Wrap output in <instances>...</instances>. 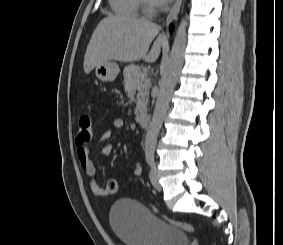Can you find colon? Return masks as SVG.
I'll use <instances>...</instances> for the list:
<instances>
[{
	"instance_id": "1",
	"label": "colon",
	"mask_w": 283,
	"mask_h": 245,
	"mask_svg": "<svg viewBox=\"0 0 283 245\" xmlns=\"http://www.w3.org/2000/svg\"><path fill=\"white\" fill-rule=\"evenodd\" d=\"M93 137V122H92V117L89 113H82L79 117V126L76 134V143L79 145L88 143L91 141ZM118 191V183L115 179H110L107 182L105 192L107 195H114ZM167 221L175 226L178 229H181L183 231L189 232V233H194L196 232V229L193 225L182 222V221H177L173 219H167Z\"/></svg>"
}]
</instances>
